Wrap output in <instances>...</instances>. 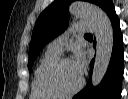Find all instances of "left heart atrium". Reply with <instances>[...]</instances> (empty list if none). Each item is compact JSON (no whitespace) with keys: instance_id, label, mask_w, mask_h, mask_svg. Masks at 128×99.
<instances>
[{"instance_id":"left-heart-atrium-1","label":"left heart atrium","mask_w":128,"mask_h":99,"mask_svg":"<svg viewBox=\"0 0 128 99\" xmlns=\"http://www.w3.org/2000/svg\"><path fill=\"white\" fill-rule=\"evenodd\" d=\"M75 68L77 69V71L79 72V74L82 76L85 70V58L81 53H77L75 55L74 60H72Z\"/></svg>"}]
</instances>
